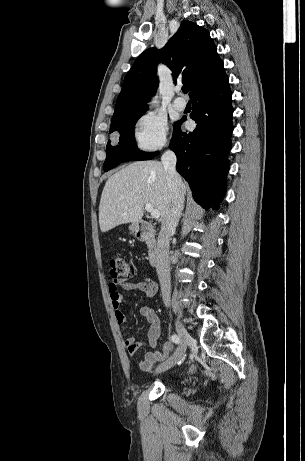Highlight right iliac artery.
<instances>
[{"instance_id":"right-iliac-artery-1","label":"right iliac artery","mask_w":305,"mask_h":461,"mask_svg":"<svg viewBox=\"0 0 305 461\" xmlns=\"http://www.w3.org/2000/svg\"><path fill=\"white\" fill-rule=\"evenodd\" d=\"M171 340H172L174 343H176V344H179V343H180V338H179V336L176 335V334H173V335L171 336Z\"/></svg>"}]
</instances>
